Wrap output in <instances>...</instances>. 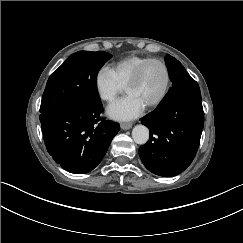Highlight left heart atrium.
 Returning a JSON list of instances; mask_svg holds the SVG:
<instances>
[{"instance_id":"obj_1","label":"left heart atrium","mask_w":243,"mask_h":243,"mask_svg":"<svg viewBox=\"0 0 243 243\" xmlns=\"http://www.w3.org/2000/svg\"><path fill=\"white\" fill-rule=\"evenodd\" d=\"M146 105L135 95L110 103L106 108L107 115L115 120H131L142 114Z\"/></svg>"}]
</instances>
